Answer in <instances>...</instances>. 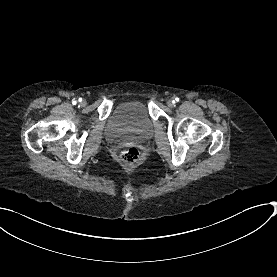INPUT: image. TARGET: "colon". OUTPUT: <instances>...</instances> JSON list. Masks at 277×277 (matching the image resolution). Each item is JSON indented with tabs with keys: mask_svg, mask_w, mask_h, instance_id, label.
Listing matches in <instances>:
<instances>
[{
	"mask_svg": "<svg viewBox=\"0 0 277 277\" xmlns=\"http://www.w3.org/2000/svg\"><path fill=\"white\" fill-rule=\"evenodd\" d=\"M117 161L125 165L133 176H140L144 172V165L140 162V149L135 144H128L117 154Z\"/></svg>",
	"mask_w": 277,
	"mask_h": 277,
	"instance_id": "obj_1",
	"label": "colon"
}]
</instances>
